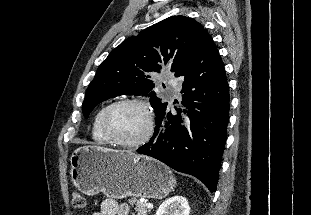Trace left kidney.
<instances>
[{
  "label": "left kidney",
  "instance_id": "5707ae66",
  "mask_svg": "<svg viewBox=\"0 0 311 215\" xmlns=\"http://www.w3.org/2000/svg\"><path fill=\"white\" fill-rule=\"evenodd\" d=\"M190 207L183 196H174L164 201L158 208L156 215H189Z\"/></svg>",
  "mask_w": 311,
  "mask_h": 215
}]
</instances>
